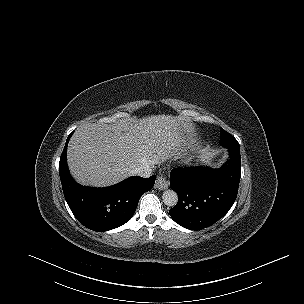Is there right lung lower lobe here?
<instances>
[{
  "label": "right lung lower lobe",
  "mask_w": 304,
  "mask_h": 304,
  "mask_svg": "<svg viewBox=\"0 0 304 304\" xmlns=\"http://www.w3.org/2000/svg\"><path fill=\"white\" fill-rule=\"evenodd\" d=\"M72 133L59 162L64 196L72 213L81 224L94 231H107L125 224L133 216L140 197L153 188L156 176H134L106 188L79 185L71 177L66 160Z\"/></svg>",
  "instance_id": "obj_1"
}]
</instances>
